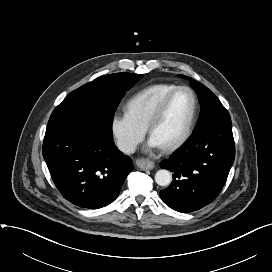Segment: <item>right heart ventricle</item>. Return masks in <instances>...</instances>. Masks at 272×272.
<instances>
[{
    "label": "right heart ventricle",
    "mask_w": 272,
    "mask_h": 272,
    "mask_svg": "<svg viewBox=\"0 0 272 272\" xmlns=\"http://www.w3.org/2000/svg\"><path fill=\"white\" fill-rule=\"evenodd\" d=\"M177 85L159 83L150 85L134 94L126 103V113L140 126L147 128L148 122L161 100Z\"/></svg>",
    "instance_id": "right-heart-ventricle-1"
}]
</instances>
